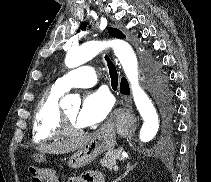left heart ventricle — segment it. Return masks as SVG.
Listing matches in <instances>:
<instances>
[{
  "mask_svg": "<svg viewBox=\"0 0 211 182\" xmlns=\"http://www.w3.org/2000/svg\"><path fill=\"white\" fill-rule=\"evenodd\" d=\"M64 112L74 126L81 128V126L77 123V120H76V117H77V114H78L77 108L64 110Z\"/></svg>",
  "mask_w": 211,
  "mask_h": 182,
  "instance_id": "obj_1",
  "label": "left heart ventricle"
}]
</instances>
